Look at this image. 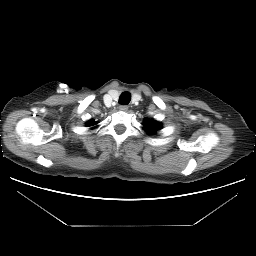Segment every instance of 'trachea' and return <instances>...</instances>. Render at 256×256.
Returning <instances> with one entry per match:
<instances>
[{"label": "trachea", "instance_id": "obj_1", "mask_svg": "<svg viewBox=\"0 0 256 256\" xmlns=\"http://www.w3.org/2000/svg\"><path fill=\"white\" fill-rule=\"evenodd\" d=\"M130 100H131V94L129 93V92H123L121 95H120V97H119V103L121 104V105H127V104H129V102H130Z\"/></svg>", "mask_w": 256, "mask_h": 256}]
</instances>
